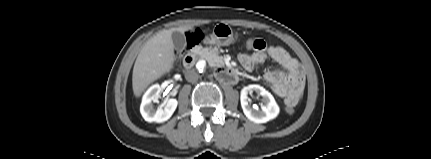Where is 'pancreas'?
<instances>
[{"instance_id":"pancreas-1","label":"pancreas","mask_w":431,"mask_h":159,"mask_svg":"<svg viewBox=\"0 0 431 159\" xmlns=\"http://www.w3.org/2000/svg\"><path fill=\"white\" fill-rule=\"evenodd\" d=\"M199 55L201 56V58H204L205 60H207V62L211 66H218L222 63V57L219 56V53L217 50L210 49L207 47L201 48L199 50Z\"/></svg>"}]
</instances>
